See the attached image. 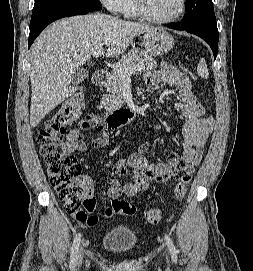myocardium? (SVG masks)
Returning <instances> with one entry per match:
<instances>
[{
  "label": "myocardium",
  "mask_w": 253,
  "mask_h": 271,
  "mask_svg": "<svg viewBox=\"0 0 253 271\" xmlns=\"http://www.w3.org/2000/svg\"><path fill=\"white\" fill-rule=\"evenodd\" d=\"M134 1L139 16L149 22L157 24H169L177 21L185 13L187 4L186 0H180V7L176 14L168 18H158L148 13L147 8L145 6V0H134Z\"/></svg>",
  "instance_id": "f54148a6"
}]
</instances>
